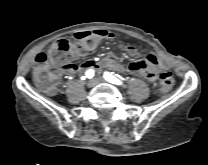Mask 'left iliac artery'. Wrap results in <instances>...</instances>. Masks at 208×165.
Here are the masks:
<instances>
[{"mask_svg":"<svg viewBox=\"0 0 208 165\" xmlns=\"http://www.w3.org/2000/svg\"><path fill=\"white\" fill-rule=\"evenodd\" d=\"M104 78L109 81L110 83H113V84H122V82L117 79L115 76L111 75L109 72H105L104 73Z\"/></svg>","mask_w":208,"mask_h":165,"instance_id":"44dca946","label":"left iliac artery"}]
</instances>
